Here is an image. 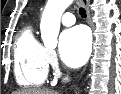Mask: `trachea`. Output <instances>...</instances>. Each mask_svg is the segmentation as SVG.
<instances>
[{"label":"trachea","instance_id":"trachea-1","mask_svg":"<svg viewBox=\"0 0 121 94\" xmlns=\"http://www.w3.org/2000/svg\"><path fill=\"white\" fill-rule=\"evenodd\" d=\"M79 14L81 15L82 18H86V10L84 8H79Z\"/></svg>","mask_w":121,"mask_h":94}]
</instances>
